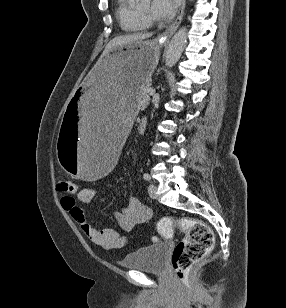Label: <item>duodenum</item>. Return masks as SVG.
<instances>
[{"label":"duodenum","instance_id":"1","mask_svg":"<svg viewBox=\"0 0 286 308\" xmlns=\"http://www.w3.org/2000/svg\"><path fill=\"white\" fill-rule=\"evenodd\" d=\"M145 122V119H141V124H144Z\"/></svg>","mask_w":286,"mask_h":308}]
</instances>
